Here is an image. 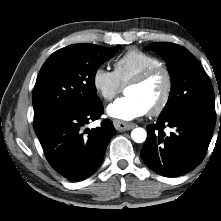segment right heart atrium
<instances>
[{"mask_svg": "<svg viewBox=\"0 0 221 221\" xmlns=\"http://www.w3.org/2000/svg\"><path fill=\"white\" fill-rule=\"evenodd\" d=\"M92 83L97 94L105 101L112 100L123 90V86L115 73L104 67L95 69L92 76Z\"/></svg>", "mask_w": 221, "mask_h": 221, "instance_id": "obj_1", "label": "right heart atrium"}]
</instances>
